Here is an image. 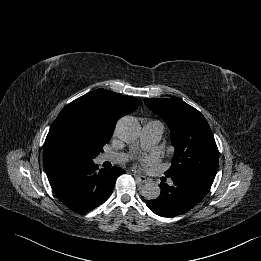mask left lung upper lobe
<instances>
[{
	"mask_svg": "<svg viewBox=\"0 0 261 261\" xmlns=\"http://www.w3.org/2000/svg\"><path fill=\"white\" fill-rule=\"evenodd\" d=\"M144 102L170 129L175 154L165 176L195 173L214 179L219 152L204 116L178 98H145Z\"/></svg>",
	"mask_w": 261,
	"mask_h": 261,
	"instance_id": "left-lung-upper-lobe-1",
	"label": "left lung upper lobe"
}]
</instances>
